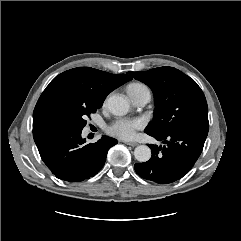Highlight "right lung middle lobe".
Masks as SVG:
<instances>
[{"mask_svg": "<svg viewBox=\"0 0 241 241\" xmlns=\"http://www.w3.org/2000/svg\"><path fill=\"white\" fill-rule=\"evenodd\" d=\"M101 106L83 105L65 99H52L34 109L33 132L60 127L83 129L87 123L85 118L95 113Z\"/></svg>", "mask_w": 241, "mask_h": 241, "instance_id": "1", "label": "right lung middle lobe"}]
</instances>
